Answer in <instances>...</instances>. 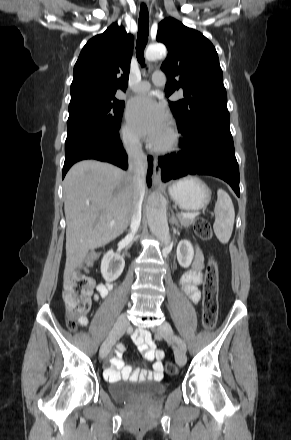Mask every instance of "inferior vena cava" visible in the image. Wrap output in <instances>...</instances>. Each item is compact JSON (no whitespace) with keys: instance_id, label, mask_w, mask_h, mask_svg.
Here are the masks:
<instances>
[{"instance_id":"602c4592","label":"inferior vena cava","mask_w":291,"mask_h":440,"mask_svg":"<svg viewBox=\"0 0 291 440\" xmlns=\"http://www.w3.org/2000/svg\"><path fill=\"white\" fill-rule=\"evenodd\" d=\"M129 173L134 185V199L130 221V234L134 236L141 222V208L146 188L147 157L138 139L130 142L127 148Z\"/></svg>"}]
</instances>
